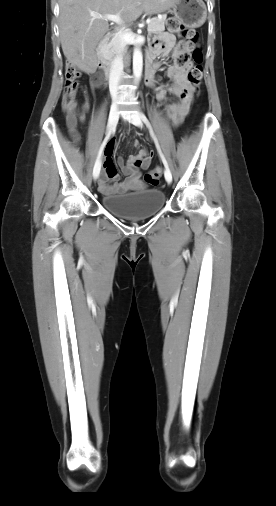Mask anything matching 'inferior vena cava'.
Wrapping results in <instances>:
<instances>
[{
	"instance_id": "602c4592",
	"label": "inferior vena cava",
	"mask_w": 276,
	"mask_h": 506,
	"mask_svg": "<svg viewBox=\"0 0 276 506\" xmlns=\"http://www.w3.org/2000/svg\"><path fill=\"white\" fill-rule=\"evenodd\" d=\"M115 38H116V43H117V47H118V54L116 55V57L114 58V60L112 62L111 69H110V76H109V89H110V93H111V97H112L113 102H116L119 97L118 85H119V81L123 75V60H122L121 51L124 46L123 34L121 31L116 33Z\"/></svg>"
}]
</instances>
